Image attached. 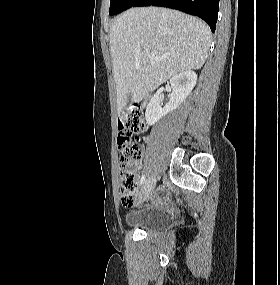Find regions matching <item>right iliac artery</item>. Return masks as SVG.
I'll return each mask as SVG.
<instances>
[{
    "label": "right iliac artery",
    "instance_id": "obj_1",
    "mask_svg": "<svg viewBox=\"0 0 280 285\" xmlns=\"http://www.w3.org/2000/svg\"><path fill=\"white\" fill-rule=\"evenodd\" d=\"M146 176L142 175L141 180H140V185H143L145 182Z\"/></svg>",
    "mask_w": 280,
    "mask_h": 285
}]
</instances>
